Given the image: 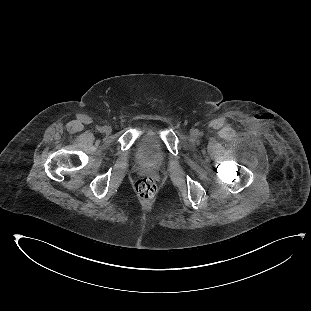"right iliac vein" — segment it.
Listing matches in <instances>:
<instances>
[{"label":"right iliac vein","instance_id":"1","mask_svg":"<svg viewBox=\"0 0 311 311\" xmlns=\"http://www.w3.org/2000/svg\"><path fill=\"white\" fill-rule=\"evenodd\" d=\"M111 131H112L111 128L108 127V128H106V131H105V132H106V134H110Z\"/></svg>","mask_w":311,"mask_h":311}]
</instances>
